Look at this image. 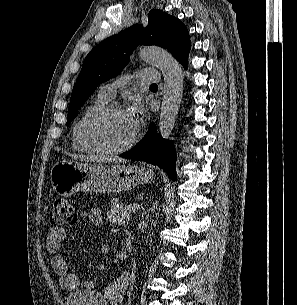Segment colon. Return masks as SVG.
<instances>
[{
    "label": "colon",
    "mask_w": 297,
    "mask_h": 305,
    "mask_svg": "<svg viewBox=\"0 0 297 305\" xmlns=\"http://www.w3.org/2000/svg\"><path fill=\"white\" fill-rule=\"evenodd\" d=\"M50 220L54 227L71 225L77 221V214L69 201L59 198L54 203Z\"/></svg>",
    "instance_id": "colon-1"
}]
</instances>
